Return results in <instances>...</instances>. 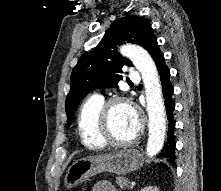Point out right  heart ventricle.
Wrapping results in <instances>:
<instances>
[{
    "mask_svg": "<svg viewBox=\"0 0 221 191\" xmlns=\"http://www.w3.org/2000/svg\"><path fill=\"white\" fill-rule=\"evenodd\" d=\"M105 99L100 95L88 97L81 105L77 128L83 145L89 149H102L106 145L99 136V115Z\"/></svg>",
    "mask_w": 221,
    "mask_h": 191,
    "instance_id": "1",
    "label": "right heart ventricle"
}]
</instances>
